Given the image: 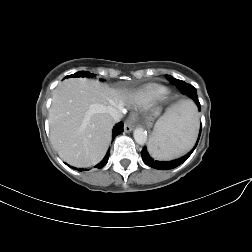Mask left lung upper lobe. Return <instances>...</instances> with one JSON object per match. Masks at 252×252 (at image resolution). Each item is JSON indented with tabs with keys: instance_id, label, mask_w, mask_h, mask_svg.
Returning a JSON list of instances; mask_svg holds the SVG:
<instances>
[{
	"instance_id": "left-lung-upper-lobe-1",
	"label": "left lung upper lobe",
	"mask_w": 252,
	"mask_h": 252,
	"mask_svg": "<svg viewBox=\"0 0 252 252\" xmlns=\"http://www.w3.org/2000/svg\"><path fill=\"white\" fill-rule=\"evenodd\" d=\"M167 80H169L171 83L175 84L178 79L173 78L172 76L166 75Z\"/></svg>"
}]
</instances>
